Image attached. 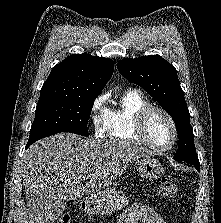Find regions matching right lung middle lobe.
<instances>
[{
    "label": "right lung middle lobe",
    "instance_id": "right-lung-middle-lobe-1",
    "mask_svg": "<svg viewBox=\"0 0 221 223\" xmlns=\"http://www.w3.org/2000/svg\"><path fill=\"white\" fill-rule=\"evenodd\" d=\"M96 97L39 101L28 143L60 132L88 136L87 122Z\"/></svg>",
    "mask_w": 221,
    "mask_h": 223
}]
</instances>
